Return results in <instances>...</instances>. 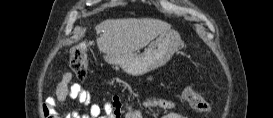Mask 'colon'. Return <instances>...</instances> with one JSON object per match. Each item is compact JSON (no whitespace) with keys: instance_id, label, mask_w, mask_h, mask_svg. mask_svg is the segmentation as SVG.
Listing matches in <instances>:
<instances>
[{"instance_id":"colon-1","label":"colon","mask_w":273,"mask_h":118,"mask_svg":"<svg viewBox=\"0 0 273 118\" xmlns=\"http://www.w3.org/2000/svg\"><path fill=\"white\" fill-rule=\"evenodd\" d=\"M87 47L88 43L86 41L79 42L72 48L70 55L71 69L81 80L86 79L88 74ZM188 96L194 109L201 112H207L211 109L208 102L202 99L200 95L191 89H188ZM44 114L46 118L56 117V114L50 112L47 106H44Z\"/></svg>"}]
</instances>
